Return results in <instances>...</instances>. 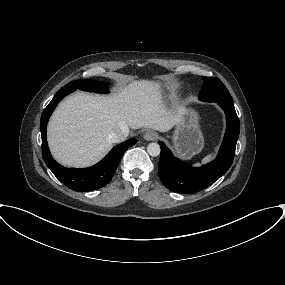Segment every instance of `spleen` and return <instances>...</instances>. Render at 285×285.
Returning a JSON list of instances; mask_svg holds the SVG:
<instances>
[{"label":"spleen","mask_w":285,"mask_h":285,"mask_svg":"<svg viewBox=\"0 0 285 285\" xmlns=\"http://www.w3.org/2000/svg\"><path fill=\"white\" fill-rule=\"evenodd\" d=\"M212 158H213V154H209L202 160V162L203 163L209 162ZM198 165L199 164H196V166H198Z\"/></svg>","instance_id":"3e777b00"}]
</instances>
